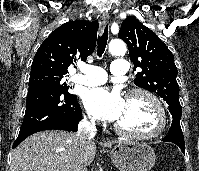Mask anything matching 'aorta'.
Instances as JSON below:
<instances>
[{"instance_id":"aorta-1","label":"aorta","mask_w":199,"mask_h":171,"mask_svg":"<svg viewBox=\"0 0 199 171\" xmlns=\"http://www.w3.org/2000/svg\"><path fill=\"white\" fill-rule=\"evenodd\" d=\"M109 52L116 56H122L126 53V45L122 40H112L109 43Z\"/></svg>"}]
</instances>
